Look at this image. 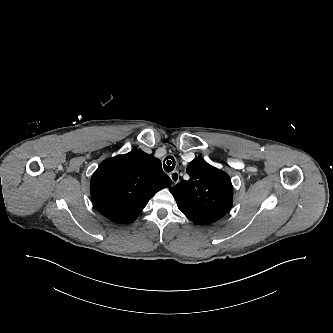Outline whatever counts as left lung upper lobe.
Listing matches in <instances>:
<instances>
[{"mask_svg":"<svg viewBox=\"0 0 333 333\" xmlns=\"http://www.w3.org/2000/svg\"><path fill=\"white\" fill-rule=\"evenodd\" d=\"M188 181L170 188L178 208L195 210H221L228 212L232 207L233 186L227 173L211 166L201 157L191 161L186 169Z\"/></svg>","mask_w":333,"mask_h":333,"instance_id":"left-lung-upper-lobe-1","label":"left lung upper lobe"}]
</instances>
